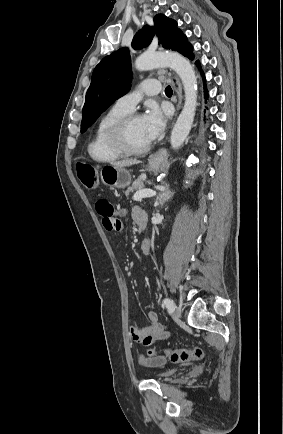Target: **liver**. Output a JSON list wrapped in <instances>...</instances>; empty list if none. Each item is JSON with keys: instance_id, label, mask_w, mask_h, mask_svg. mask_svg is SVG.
<instances>
[{"instance_id": "obj_1", "label": "liver", "mask_w": 283, "mask_h": 434, "mask_svg": "<svg viewBox=\"0 0 283 434\" xmlns=\"http://www.w3.org/2000/svg\"><path fill=\"white\" fill-rule=\"evenodd\" d=\"M140 161L136 160V159H130V160H123V161H117V162H112L111 165L115 166V167H128V166H132L135 164H139Z\"/></svg>"}]
</instances>
